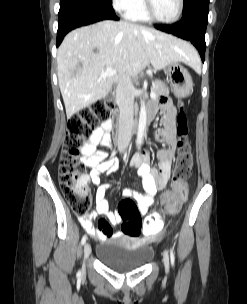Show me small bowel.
<instances>
[{
  "label": "small bowel",
  "instance_id": "small-bowel-1",
  "mask_svg": "<svg viewBox=\"0 0 247 304\" xmlns=\"http://www.w3.org/2000/svg\"><path fill=\"white\" fill-rule=\"evenodd\" d=\"M149 109L155 111V113L159 109L163 111L161 119L163 128L156 132V140L166 143L169 148L158 151V168H152L150 166L149 152L134 155L131 159V165L137 168V173L142 180L144 193L126 188L122 194L124 197H131L136 200L139 212L142 215L148 212L157 192L164 189L168 184L171 175L172 161L177 147L175 107L167 98H161L159 102L152 103ZM112 126L113 122L106 120L94 129L89 139L82 145L80 155L84 166L91 169L89 175H86L87 183L91 181L98 186L95 194L96 211L85 217H81L80 222L83 228L98 240H106L111 237L120 238L124 235L121 231L116 233L112 232L111 225L119 224L121 218L118 213L111 211L109 201L106 197V192L111 185L109 183L100 184L101 174L112 173L118 168V163L115 159H107V153L97 148L98 145L107 148L111 147L110 131ZM97 215L105 216L106 219H101L96 228L93 225V220Z\"/></svg>",
  "mask_w": 247,
  "mask_h": 304
}]
</instances>
